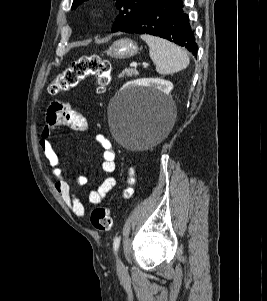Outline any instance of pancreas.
<instances>
[{
	"label": "pancreas",
	"instance_id": "cf45deb5",
	"mask_svg": "<svg viewBox=\"0 0 267 301\" xmlns=\"http://www.w3.org/2000/svg\"><path fill=\"white\" fill-rule=\"evenodd\" d=\"M137 76L138 75V72L135 70V69H125L122 71L121 74H119V77L122 78L124 76H127V77H132V76Z\"/></svg>",
	"mask_w": 267,
	"mask_h": 301
}]
</instances>
